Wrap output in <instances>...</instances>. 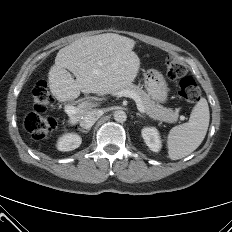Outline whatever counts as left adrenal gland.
Returning <instances> with one entry per match:
<instances>
[{
  "mask_svg": "<svg viewBox=\"0 0 232 232\" xmlns=\"http://www.w3.org/2000/svg\"><path fill=\"white\" fill-rule=\"evenodd\" d=\"M136 116L137 117H140V118H144L145 119V116H143L142 114H140V113H136Z\"/></svg>",
  "mask_w": 232,
  "mask_h": 232,
  "instance_id": "left-adrenal-gland-1",
  "label": "left adrenal gland"
}]
</instances>
